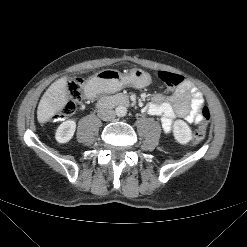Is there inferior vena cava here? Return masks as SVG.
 <instances>
[{
  "label": "inferior vena cava",
  "mask_w": 247,
  "mask_h": 247,
  "mask_svg": "<svg viewBox=\"0 0 247 247\" xmlns=\"http://www.w3.org/2000/svg\"><path fill=\"white\" fill-rule=\"evenodd\" d=\"M98 116L104 121H112L116 117V113L114 110L109 108H101L98 110Z\"/></svg>",
  "instance_id": "1"
}]
</instances>
